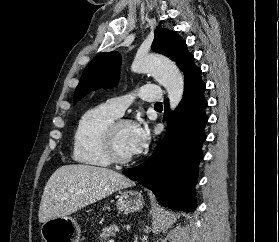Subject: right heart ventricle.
Wrapping results in <instances>:
<instances>
[{
	"mask_svg": "<svg viewBox=\"0 0 279 242\" xmlns=\"http://www.w3.org/2000/svg\"><path fill=\"white\" fill-rule=\"evenodd\" d=\"M117 117L106 105L91 108L80 117L73 137V159L76 162L94 167L110 166L112 161L102 135Z\"/></svg>",
	"mask_w": 279,
	"mask_h": 242,
	"instance_id": "right-heart-ventricle-1",
	"label": "right heart ventricle"
}]
</instances>
